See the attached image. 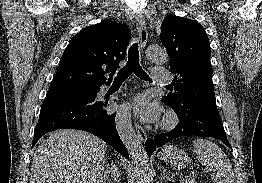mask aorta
<instances>
[{
  "instance_id": "762f6f07",
  "label": "aorta",
  "mask_w": 262,
  "mask_h": 183,
  "mask_svg": "<svg viewBox=\"0 0 262 183\" xmlns=\"http://www.w3.org/2000/svg\"><path fill=\"white\" fill-rule=\"evenodd\" d=\"M147 57L151 62L157 64L165 63L168 59L167 52L163 48L155 45L148 47ZM115 123L120 139L124 143L136 165L137 182L149 183L150 164L148 156L132 126L131 108L128 103L120 106V109L116 114Z\"/></svg>"
}]
</instances>
